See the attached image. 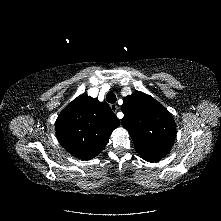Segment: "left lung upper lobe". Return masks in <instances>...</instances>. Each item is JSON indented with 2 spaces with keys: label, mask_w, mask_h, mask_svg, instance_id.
<instances>
[{
  "label": "left lung upper lobe",
  "mask_w": 221,
  "mask_h": 221,
  "mask_svg": "<svg viewBox=\"0 0 221 221\" xmlns=\"http://www.w3.org/2000/svg\"><path fill=\"white\" fill-rule=\"evenodd\" d=\"M123 127L130 134L139 155L157 162L170 151L176 136V125L170 112L151 96L133 92L121 106Z\"/></svg>",
  "instance_id": "obj_1"
}]
</instances>
